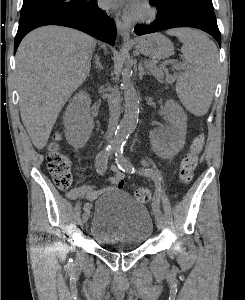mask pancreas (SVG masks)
Listing matches in <instances>:
<instances>
[{
	"label": "pancreas",
	"instance_id": "pancreas-1",
	"mask_svg": "<svg viewBox=\"0 0 245 300\" xmlns=\"http://www.w3.org/2000/svg\"><path fill=\"white\" fill-rule=\"evenodd\" d=\"M151 63L150 65V71L151 73L160 81V82H163V78H164V72L163 70L159 69L156 67L155 63L154 62H149ZM176 69H178L176 67ZM165 76H166V81L168 83H172L175 79L171 76L168 75V73H165Z\"/></svg>",
	"mask_w": 245,
	"mask_h": 300
}]
</instances>
